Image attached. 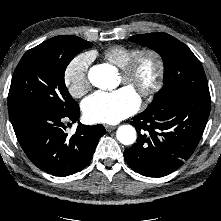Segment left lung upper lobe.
<instances>
[{"label":"left lung upper lobe","mask_w":221,"mask_h":221,"mask_svg":"<svg viewBox=\"0 0 221 221\" xmlns=\"http://www.w3.org/2000/svg\"><path fill=\"white\" fill-rule=\"evenodd\" d=\"M129 40L153 49L164 62V85L146 111L157 110L165 101L189 94L210 99L203 67L185 44L166 33L140 34Z\"/></svg>","instance_id":"5c2ea615"}]
</instances>
